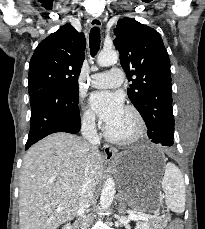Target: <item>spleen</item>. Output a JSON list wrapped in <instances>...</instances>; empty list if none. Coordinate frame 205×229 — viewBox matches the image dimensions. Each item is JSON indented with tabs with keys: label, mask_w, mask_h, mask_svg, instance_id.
Here are the masks:
<instances>
[{
	"label": "spleen",
	"mask_w": 205,
	"mask_h": 229,
	"mask_svg": "<svg viewBox=\"0 0 205 229\" xmlns=\"http://www.w3.org/2000/svg\"><path fill=\"white\" fill-rule=\"evenodd\" d=\"M161 185L168 208L173 212L183 213L186 201L185 184L183 174L175 164L167 163Z\"/></svg>",
	"instance_id": "3e777b00"
}]
</instances>
